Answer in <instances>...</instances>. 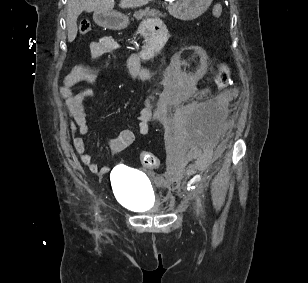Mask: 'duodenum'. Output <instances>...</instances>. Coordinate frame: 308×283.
<instances>
[{
    "instance_id": "1",
    "label": "duodenum",
    "mask_w": 308,
    "mask_h": 283,
    "mask_svg": "<svg viewBox=\"0 0 308 283\" xmlns=\"http://www.w3.org/2000/svg\"><path fill=\"white\" fill-rule=\"evenodd\" d=\"M165 40V34L161 33L159 35V38H155L149 46V49L151 51H154L160 44H162ZM144 55L146 54L145 52L143 53ZM150 55L152 54L151 52L149 53ZM147 60L149 59L148 57L146 58Z\"/></svg>"
}]
</instances>
